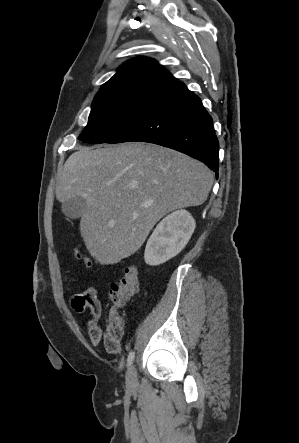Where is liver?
<instances>
[{
  "instance_id": "obj_1",
  "label": "liver",
  "mask_w": 299,
  "mask_h": 443,
  "mask_svg": "<svg viewBox=\"0 0 299 443\" xmlns=\"http://www.w3.org/2000/svg\"><path fill=\"white\" fill-rule=\"evenodd\" d=\"M212 184L213 174L202 162L133 142L79 148L58 177L56 198L87 199L80 233L90 255L109 265L134 254L167 213L203 204ZM146 202L152 204L142 207Z\"/></svg>"
}]
</instances>
